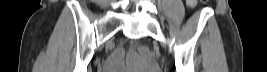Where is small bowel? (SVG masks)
Returning <instances> with one entry per match:
<instances>
[{
	"label": "small bowel",
	"instance_id": "small-bowel-1",
	"mask_svg": "<svg viewBox=\"0 0 267 72\" xmlns=\"http://www.w3.org/2000/svg\"><path fill=\"white\" fill-rule=\"evenodd\" d=\"M188 4H189L190 6H194V5H195V1H188Z\"/></svg>",
	"mask_w": 267,
	"mask_h": 72
}]
</instances>
